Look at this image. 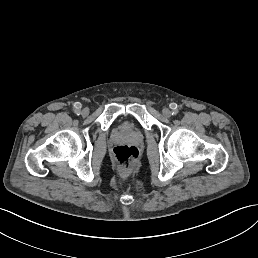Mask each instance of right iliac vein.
I'll use <instances>...</instances> for the list:
<instances>
[{"label": "right iliac vein", "mask_w": 258, "mask_h": 258, "mask_svg": "<svg viewBox=\"0 0 258 258\" xmlns=\"http://www.w3.org/2000/svg\"><path fill=\"white\" fill-rule=\"evenodd\" d=\"M82 115L83 116H88L89 115V110L88 109H83L82 110Z\"/></svg>", "instance_id": "right-iliac-vein-1"}]
</instances>
